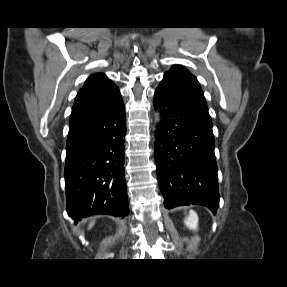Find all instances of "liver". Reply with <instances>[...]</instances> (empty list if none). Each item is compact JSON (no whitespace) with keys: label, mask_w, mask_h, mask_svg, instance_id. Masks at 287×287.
I'll list each match as a JSON object with an SVG mask.
<instances>
[{"label":"liver","mask_w":287,"mask_h":287,"mask_svg":"<svg viewBox=\"0 0 287 287\" xmlns=\"http://www.w3.org/2000/svg\"><path fill=\"white\" fill-rule=\"evenodd\" d=\"M94 224H95V221L92 220V221L89 223L88 228H89V229L92 228V227L94 226Z\"/></svg>","instance_id":"6515ba94"}]
</instances>
